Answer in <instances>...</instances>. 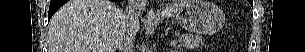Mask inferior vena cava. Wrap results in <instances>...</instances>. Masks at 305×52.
Listing matches in <instances>:
<instances>
[{
  "label": "inferior vena cava",
  "mask_w": 305,
  "mask_h": 52,
  "mask_svg": "<svg viewBox=\"0 0 305 52\" xmlns=\"http://www.w3.org/2000/svg\"><path fill=\"white\" fill-rule=\"evenodd\" d=\"M147 0H128L123 12L124 30L120 36L118 48L120 52H133L136 27L139 25V16L146 7Z\"/></svg>",
  "instance_id": "1"
}]
</instances>
